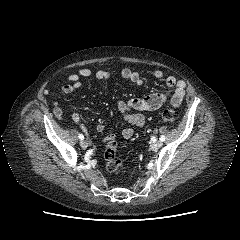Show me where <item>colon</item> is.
<instances>
[{"mask_svg":"<svg viewBox=\"0 0 240 240\" xmlns=\"http://www.w3.org/2000/svg\"><path fill=\"white\" fill-rule=\"evenodd\" d=\"M162 120L165 123H172L177 118V112L173 108H165L162 111ZM104 158L106 168L109 172L120 174L123 169V161L117 157V142L115 138H107L104 147Z\"/></svg>","mask_w":240,"mask_h":240,"instance_id":"colon-1","label":"colon"}]
</instances>
